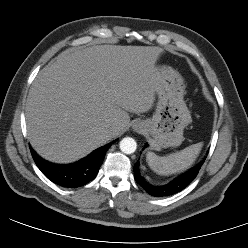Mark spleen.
Here are the masks:
<instances>
[{
    "mask_svg": "<svg viewBox=\"0 0 248 248\" xmlns=\"http://www.w3.org/2000/svg\"><path fill=\"white\" fill-rule=\"evenodd\" d=\"M202 143H196L185 149L166 156H158L153 152L147 153L150 168L160 175H171L189 168L196 160Z\"/></svg>",
    "mask_w": 248,
    "mask_h": 248,
    "instance_id": "obj_1",
    "label": "spleen"
}]
</instances>
